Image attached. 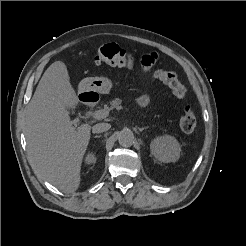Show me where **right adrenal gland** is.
<instances>
[{"label": "right adrenal gland", "mask_w": 246, "mask_h": 246, "mask_svg": "<svg viewBox=\"0 0 246 246\" xmlns=\"http://www.w3.org/2000/svg\"><path fill=\"white\" fill-rule=\"evenodd\" d=\"M94 138H100V135H95Z\"/></svg>", "instance_id": "obj_1"}]
</instances>
